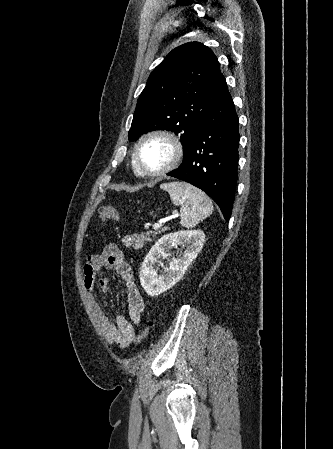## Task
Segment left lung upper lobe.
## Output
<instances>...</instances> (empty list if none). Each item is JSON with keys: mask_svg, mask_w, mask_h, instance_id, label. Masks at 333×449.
Returning a JSON list of instances; mask_svg holds the SVG:
<instances>
[{"mask_svg": "<svg viewBox=\"0 0 333 449\" xmlns=\"http://www.w3.org/2000/svg\"><path fill=\"white\" fill-rule=\"evenodd\" d=\"M225 86L209 47L189 42L175 48L150 74L137 101L129 139L157 128L170 130L180 137L185 158L195 131Z\"/></svg>", "mask_w": 333, "mask_h": 449, "instance_id": "obj_1", "label": "left lung upper lobe"}]
</instances>
